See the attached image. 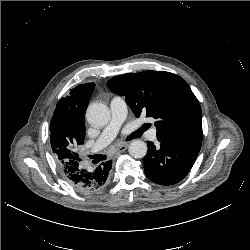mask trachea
Returning a JSON list of instances; mask_svg holds the SVG:
<instances>
[{
  "instance_id": "1",
  "label": "trachea",
  "mask_w": 250,
  "mask_h": 250,
  "mask_svg": "<svg viewBox=\"0 0 250 250\" xmlns=\"http://www.w3.org/2000/svg\"><path fill=\"white\" fill-rule=\"evenodd\" d=\"M149 128V126L148 125H143L139 130H137L136 132H135V136L137 137V138H139L141 135H142V133L145 131V130H147Z\"/></svg>"
}]
</instances>
